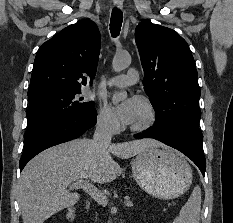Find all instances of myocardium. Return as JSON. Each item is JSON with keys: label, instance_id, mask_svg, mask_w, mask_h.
<instances>
[{"label": "myocardium", "instance_id": "1", "mask_svg": "<svg viewBox=\"0 0 233 223\" xmlns=\"http://www.w3.org/2000/svg\"><path fill=\"white\" fill-rule=\"evenodd\" d=\"M140 100L149 114V122L145 125H131L130 128L136 133H145L153 129L158 124L159 115L155 105L147 97L141 96Z\"/></svg>", "mask_w": 233, "mask_h": 223}]
</instances>
